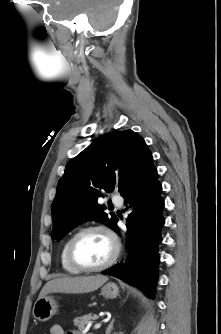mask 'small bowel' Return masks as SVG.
<instances>
[{
    "label": "small bowel",
    "mask_w": 221,
    "mask_h": 334,
    "mask_svg": "<svg viewBox=\"0 0 221 334\" xmlns=\"http://www.w3.org/2000/svg\"><path fill=\"white\" fill-rule=\"evenodd\" d=\"M49 334H65L62 326L55 324L50 327ZM73 334V333H69Z\"/></svg>",
    "instance_id": "obj_1"
}]
</instances>
